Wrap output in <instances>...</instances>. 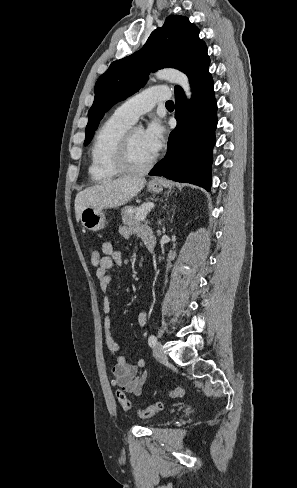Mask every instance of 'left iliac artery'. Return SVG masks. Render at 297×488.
I'll use <instances>...</instances> for the list:
<instances>
[{
  "instance_id": "1",
  "label": "left iliac artery",
  "mask_w": 297,
  "mask_h": 488,
  "mask_svg": "<svg viewBox=\"0 0 297 488\" xmlns=\"http://www.w3.org/2000/svg\"><path fill=\"white\" fill-rule=\"evenodd\" d=\"M157 343V337L155 335H151L148 339V344L150 347H154Z\"/></svg>"
}]
</instances>
